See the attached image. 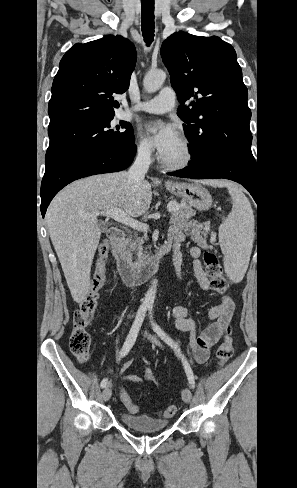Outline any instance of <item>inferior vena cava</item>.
Returning a JSON list of instances; mask_svg holds the SVG:
<instances>
[{
	"label": "inferior vena cava",
	"mask_w": 297,
	"mask_h": 488,
	"mask_svg": "<svg viewBox=\"0 0 297 488\" xmlns=\"http://www.w3.org/2000/svg\"><path fill=\"white\" fill-rule=\"evenodd\" d=\"M151 148L147 145H140L137 151L135 162L128 171L129 181L140 183L144 180L151 163Z\"/></svg>",
	"instance_id": "602c4592"
}]
</instances>
